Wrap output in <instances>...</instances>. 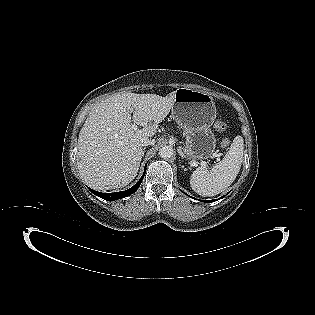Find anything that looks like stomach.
I'll return each mask as SVG.
<instances>
[{"label":"stomach","instance_id":"obj_1","mask_svg":"<svg viewBox=\"0 0 315 315\" xmlns=\"http://www.w3.org/2000/svg\"><path fill=\"white\" fill-rule=\"evenodd\" d=\"M172 116L183 129L184 153L188 160L209 159L216 149V138L211 126L216 118V107L208 93L179 88L175 91Z\"/></svg>","mask_w":315,"mask_h":315}]
</instances>
